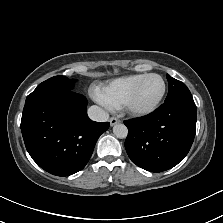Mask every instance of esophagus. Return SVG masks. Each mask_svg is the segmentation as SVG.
<instances>
[{
    "instance_id": "34e87169",
    "label": "esophagus",
    "mask_w": 223,
    "mask_h": 223,
    "mask_svg": "<svg viewBox=\"0 0 223 223\" xmlns=\"http://www.w3.org/2000/svg\"><path fill=\"white\" fill-rule=\"evenodd\" d=\"M109 121H110L111 126H114V125L120 123V120L115 117H111Z\"/></svg>"
}]
</instances>
